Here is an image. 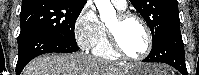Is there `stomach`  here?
Here are the masks:
<instances>
[{"label": "stomach", "mask_w": 199, "mask_h": 75, "mask_svg": "<svg viewBox=\"0 0 199 75\" xmlns=\"http://www.w3.org/2000/svg\"><path fill=\"white\" fill-rule=\"evenodd\" d=\"M127 75H167V71L160 64L140 63L133 65Z\"/></svg>", "instance_id": "stomach-1"}]
</instances>
